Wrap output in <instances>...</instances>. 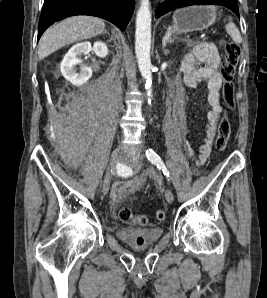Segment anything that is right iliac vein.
<instances>
[{
	"label": "right iliac vein",
	"instance_id": "obj_1",
	"mask_svg": "<svg viewBox=\"0 0 267 298\" xmlns=\"http://www.w3.org/2000/svg\"><path fill=\"white\" fill-rule=\"evenodd\" d=\"M120 154H121V149L120 148H116L111 154L110 164H109V167L106 171V174H105V177H104V180H103V185H102V192L104 194H107L108 191H109L110 179H111V170L115 166L116 162L119 160Z\"/></svg>",
	"mask_w": 267,
	"mask_h": 298
}]
</instances>
